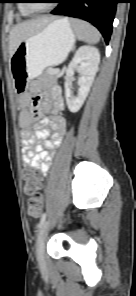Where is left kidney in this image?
Masks as SVG:
<instances>
[{"label":"left kidney","mask_w":136,"mask_h":296,"mask_svg":"<svg viewBox=\"0 0 136 296\" xmlns=\"http://www.w3.org/2000/svg\"><path fill=\"white\" fill-rule=\"evenodd\" d=\"M99 62L100 53L97 48L81 46L76 50L66 71L67 78L65 81L66 103L70 112L76 113L82 107L98 71ZM75 70L81 74V77L78 79V94L72 96L71 82Z\"/></svg>","instance_id":"1"}]
</instances>
